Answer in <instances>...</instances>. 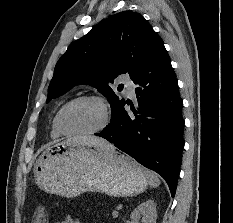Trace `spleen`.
Returning a JSON list of instances; mask_svg holds the SVG:
<instances>
[{"label":"spleen","instance_id":"spleen-1","mask_svg":"<svg viewBox=\"0 0 233 223\" xmlns=\"http://www.w3.org/2000/svg\"><path fill=\"white\" fill-rule=\"evenodd\" d=\"M147 177L149 179V185L151 187H157V185H160V179L154 171H147Z\"/></svg>","mask_w":233,"mask_h":223}]
</instances>
